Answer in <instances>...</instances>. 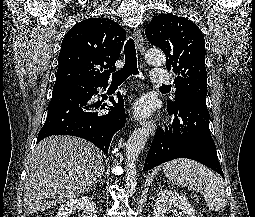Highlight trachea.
<instances>
[{"instance_id":"3493384b","label":"trachea","mask_w":255,"mask_h":217,"mask_svg":"<svg viewBox=\"0 0 255 217\" xmlns=\"http://www.w3.org/2000/svg\"><path fill=\"white\" fill-rule=\"evenodd\" d=\"M125 52V64L123 68L113 73L112 75V85H120L123 83L130 75H138L137 67V57L135 43L132 38H129L124 47ZM161 88H167L162 86Z\"/></svg>"}]
</instances>
